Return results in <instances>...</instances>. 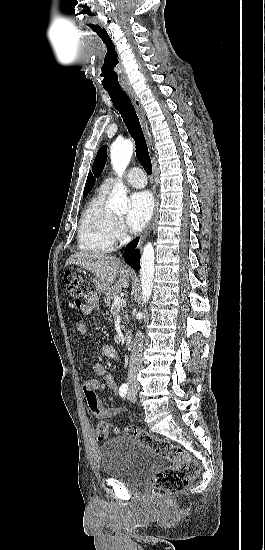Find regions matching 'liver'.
<instances>
[{"instance_id":"obj_1","label":"liver","mask_w":265,"mask_h":550,"mask_svg":"<svg viewBox=\"0 0 265 550\" xmlns=\"http://www.w3.org/2000/svg\"><path fill=\"white\" fill-rule=\"evenodd\" d=\"M76 264L90 271L97 279L98 288L107 290L119 275L118 286L127 288L129 286L128 269L124 267L117 257L104 253H78L69 257L65 265Z\"/></svg>"}]
</instances>
